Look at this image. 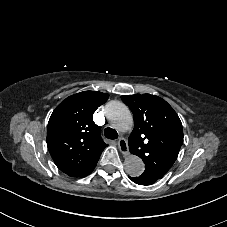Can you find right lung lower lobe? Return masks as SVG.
<instances>
[{
	"label": "right lung lower lobe",
	"mask_w": 227,
	"mask_h": 227,
	"mask_svg": "<svg viewBox=\"0 0 227 227\" xmlns=\"http://www.w3.org/2000/svg\"><path fill=\"white\" fill-rule=\"evenodd\" d=\"M95 166H96V165H95ZM95 166L93 167V169L95 168ZM93 169H92L87 175H89V174L93 171ZM87 175H86V176H87ZM84 177H85V176H84Z\"/></svg>",
	"instance_id": "right-lung-lower-lobe-1"
}]
</instances>
